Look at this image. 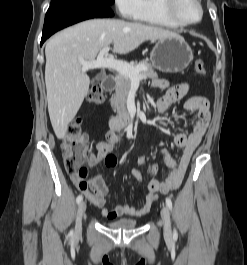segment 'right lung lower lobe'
<instances>
[{
  "label": "right lung lower lobe",
  "mask_w": 247,
  "mask_h": 265,
  "mask_svg": "<svg viewBox=\"0 0 247 265\" xmlns=\"http://www.w3.org/2000/svg\"><path fill=\"white\" fill-rule=\"evenodd\" d=\"M114 13L105 4L69 2L50 6L43 27L41 45L55 32L90 18L111 17Z\"/></svg>",
  "instance_id": "1"
}]
</instances>
